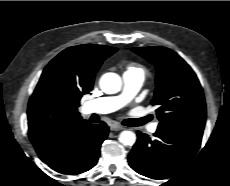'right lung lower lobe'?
Here are the masks:
<instances>
[{
    "mask_svg": "<svg viewBox=\"0 0 230 186\" xmlns=\"http://www.w3.org/2000/svg\"><path fill=\"white\" fill-rule=\"evenodd\" d=\"M108 132L104 122L93 125L84 121L35 149L40 159L53 170L62 174H79L96 165Z\"/></svg>",
    "mask_w": 230,
    "mask_h": 186,
    "instance_id": "obj_1",
    "label": "right lung lower lobe"
}]
</instances>
